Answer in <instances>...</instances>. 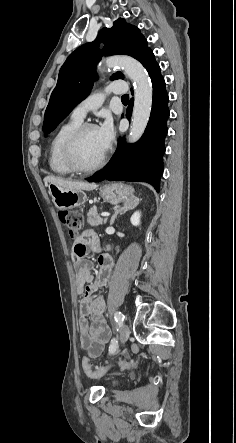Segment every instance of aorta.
<instances>
[{
	"instance_id": "obj_1",
	"label": "aorta",
	"mask_w": 236,
	"mask_h": 443,
	"mask_svg": "<svg viewBox=\"0 0 236 443\" xmlns=\"http://www.w3.org/2000/svg\"><path fill=\"white\" fill-rule=\"evenodd\" d=\"M107 68L121 67L134 82V107L129 141L134 143L143 135L149 121L153 90L148 75L140 62L128 56H114L105 60Z\"/></svg>"
}]
</instances>
